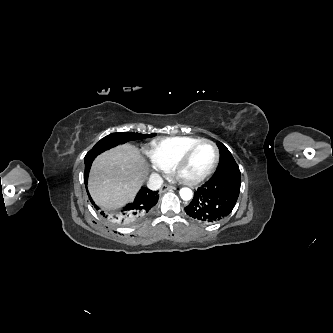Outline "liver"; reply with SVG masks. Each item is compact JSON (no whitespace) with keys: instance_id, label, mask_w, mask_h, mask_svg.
Listing matches in <instances>:
<instances>
[{"instance_id":"obj_1","label":"liver","mask_w":333,"mask_h":333,"mask_svg":"<svg viewBox=\"0 0 333 333\" xmlns=\"http://www.w3.org/2000/svg\"><path fill=\"white\" fill-rule=\"evenodd\" d=\"M148 171L137 147L119 145L97 156L92 164L88 189L103 209H116L132 201Z\"/></svg>"}]
</instances>
